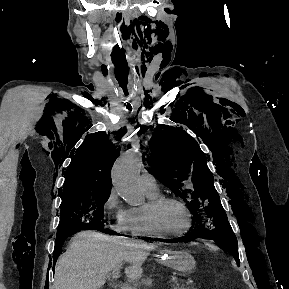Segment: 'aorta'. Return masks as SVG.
Masks as SVG:
<instances>
[{"mask_svg":"<svg viewBox=\"0 0 289 289\" xmlns=\"http://www.w3.org/2000/svg\"><path fill=\"white\" fill-rule=\"evenodd\" d=\"M142 165V155L138 144L123 153L115 162L112 169V183L118 194L131 206L144 202L138 178Z\"/></svg>","mask_w":289,"mask_h":289,"instance_id":"aorta-1","label":"aorta"}]
</instances>
